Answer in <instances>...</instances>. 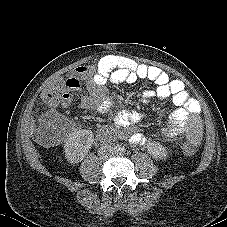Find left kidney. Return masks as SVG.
<instances>
[{
	"instance_id": "1",
	"label": "left kidney",
	"mask_w": 227,
	"mask_h": 227,
	"mask_svg": "<svg viewBox=\"0 0 227 227\" xmlns=\"http://www.w3.org/2000/svg\"><path fill=\"white\" fill-rule=\"evenodd\" d=\"M148 150L155 159L165 160L168 157V151L159 143H152Z\"/></svg>"
}]
</instances>
